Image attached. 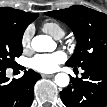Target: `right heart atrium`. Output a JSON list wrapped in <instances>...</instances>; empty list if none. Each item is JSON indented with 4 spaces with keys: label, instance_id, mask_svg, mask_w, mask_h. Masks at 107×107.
Segmentation results:
<instances>
[{
    "label": "right heart atrium",
    "instance_id": "d8ad5b80",
    "mask_svg": "<svg viewBox=\"0 0 107 107\" xmlns=\"http://www.w3.org/2000/svg\"><path fill=\"white\" fill-rule=\"evenodd\" d=\"M33 35V28L31 26L27 27L24 31L22 38H21V44L23 48H29L31 43V38Z\"/></svg>",
    "mask_w": 107,
    "mask_h": 107
}]
</instances>
